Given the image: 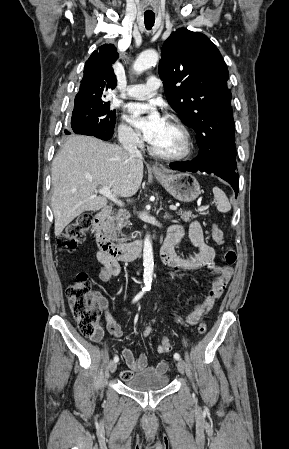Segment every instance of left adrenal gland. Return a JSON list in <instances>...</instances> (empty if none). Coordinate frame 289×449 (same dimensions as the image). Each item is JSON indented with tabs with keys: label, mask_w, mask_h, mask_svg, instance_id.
I'll use <instances>...</instances> for the list:
<instances>
[{
	"label": "left adrenal gland",
	"mask_w": 289,
	"mask_h": 449,
	"mask_svg": "<svg viewBox=\"0 0 289 449\" xmlns=\"http://www.w3.org/2000/svg\"><path fill=\"white\" fill-rule=\"evenodd\" d=\"M163 208L161 207L160 208V210H162ZM172 216L171 215H169L168 213H165V216H164V218H166V219H170Z\"/></svg>",
	"instance_id": "a2214340"
}]
</instances>
